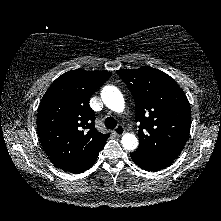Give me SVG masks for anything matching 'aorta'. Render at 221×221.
Here are the masks:
<instances>
[{"label": "aorta", "mask_w": 221, "mask_h": 221, "mask_svg": "<svg viewBox=\"0 0 221 221\" xmlns=\"http://www.w3.org/2000/svg\"><path fill=\"white\" fill-rule=\"evenodd\" d=\"M104 104L114 112L121 113L125 108V101L120 90L115 86H105L101 91ZM121 144L126 150L133 151L138 147V139L134 134L126 133L121 138Z\"/></svg>", "instance_id": "obj_1"}]
</instances>
